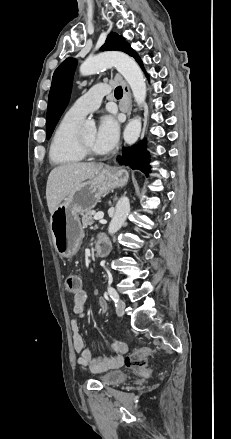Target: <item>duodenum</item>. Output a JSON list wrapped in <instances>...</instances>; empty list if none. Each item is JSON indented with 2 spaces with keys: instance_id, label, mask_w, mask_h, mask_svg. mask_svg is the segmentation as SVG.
<instances>
[{
  "instance_id": "obj_1",
  "label": "duodenum",
  "mask_w": 231,
  "mask_h": 439,
  "mask_svg": "<svg viewBox=\"0 0 231 439\" xmlns=\"http://www.w3.org/2000/svg\"><path fill=\"white\" fill-rule=\"evenodd\" d=\"M95 250H96L97 256H99V257H104V256L108 255L110 250H111L110 241L105 237H101L96 243Z\"/></svg>"
}]
</instances>
